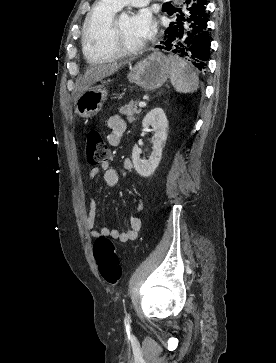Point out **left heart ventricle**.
I'll list each match as a JSON object with an SVG mask.
<instances>
[{
    "instance_id": "1",
    "label": "left heart ventricle",
    "mask_w": 276,
    "mask_h": 363,
    "mask_svg": "<svg viewBox=\"0 0 276 363\" xmlns=\"http://www.w3.org/2000/svg\"><path fill=\"white\" fill-rule=\"evenodd\" d=\"M120 42L127 48H134L146 42L136 27L134 16L120 17Z\"/></svg>"
}]
</instances>
